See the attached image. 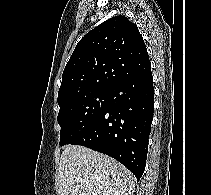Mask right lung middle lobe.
<instances>
[{"mask_svg":"<svg viewBox=\"0 0 211 195\" xmlns=\"http://www.w3.org/2000/svg\"><path fill=\"white\" fill-rule=\"evenodd\" d=\"M110 89H92L58 103L60 145L72 144L101 115L109 102Z\"/></svg>","mask_w":211,"mask_h":195,"instance_id":"obj_1","label":"right lung middle lobe"}]
</instances>
